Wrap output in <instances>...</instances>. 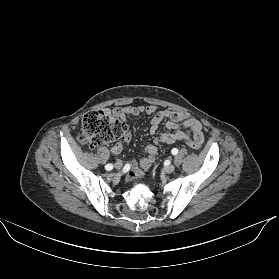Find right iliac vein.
<instances>
[{
	"label": "right iliac vein",
	"mask_w": 279,
	"mask_h": 279,
	"mask_svg": "<svg viewBox=\"0 0 279 279\" xmlns=\"http://www.w3.org/2000/svg\"><path fill=\"white\" fill-rule=\"evenodd\" d=\"M122 166H123L122 162H116L115 163V168L118 169V170L121 169Z\"/></svg>",
	"instance_id": "obj_1"
}]
</instances>
